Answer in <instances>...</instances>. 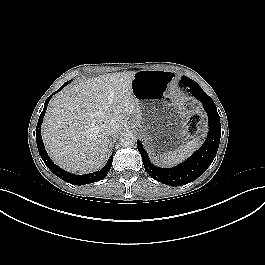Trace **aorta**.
Instances as JSON below:
<instances>
[{
  "mask_svg": "<svg viewBox=\"0 0 265 265\" xmlns=\"http://www.w3.org/2000/svg\"><path fill=\"white\" fill-rule=\"evenodd\" d=\"M120 144L124 147L133 146L136 138L131 132L122 133L119 138Z\"/></svg>",
  "mask_w": 265,
  "mask_h": 265,
  "instance_id": "obj_1",
  "label": "aorta"
}]
</instances>
